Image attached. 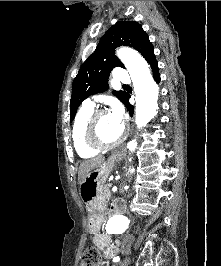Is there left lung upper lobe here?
<instances>
[{
  "instance_id": "obj_1",
  "label": "left lung upper lobe",
  "mask_w": 221,
  "mask_h": 266,
  "mask_svg": "<svg viewBox=\"0 0 221 266\" xmlns=\"http://www.w3.org/2000/svg\"><path fill=\"white\" fill-rule=\"evenodd\" d=\"M121 45L135 48L150 65L156 61L153 45L142 26L136 21H118L101 38L96 50L81 66L73 81L70 122L84 99L108 89L111 70L117 66L124 68L115 55V48ZM113 94L123 103L128 96L124 91H113Z\"/></svg>"
}]
</instances>
